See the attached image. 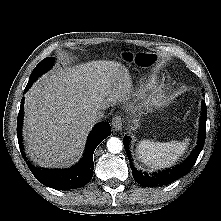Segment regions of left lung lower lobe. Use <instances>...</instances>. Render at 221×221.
Returning a JSON list of instances; mask_svg holds the SVG:
<instances>
[{
    "instance_id": "left-lung-lower-lobe-1",
    "label": "left lung lower lobe",
    "mask_w": 221,
    "mask_h": 221,
    "mask_svg": "<svg viewBox=\"0 0 221 221\" xmlns=\"http://www.w3.org/2000/svg\"><path fill=\"white\" fill-rule=\"evenodd\" d=\"M206 119H207V108L204 101H202V113L200 117V132L199 140L196 148L190 154V156L180 165L173 167L172 169L163 170L158 173L148 174L142 171H138L132 164L131 154L129 151V137L123 139L124 148L128 155L130 165L133 171L134 179L143 186H159L166 185L174 182L175 180L186 175L196 162L201 150L203 149L205 137H206Z\"/></svg>"
}]
</instances>
